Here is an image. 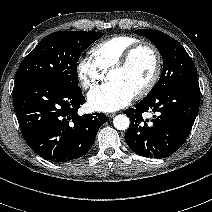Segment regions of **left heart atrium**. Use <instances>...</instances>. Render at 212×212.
I'll use <instances>...</instances> for the list:
<instances>
[{
    "mask_svg": "<svg viewBox=\"0 0 212 212\" xmlns=\"http://www.w3.org/2000/svg\"><path fill=\"white\" fill-rule=\"evenodd\" d=\"M134 98V93L115 81H109L93 88L88 93V105L101 112H113L127 106Z\"/></svg>",
    "mask_w": 212,
    "mask_h": 212,
    "instance_id": "left-heart-atrium-1",
    "label": "left heart atrium"
}]
</instances>
